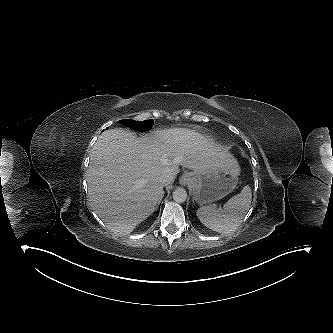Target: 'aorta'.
<instances>
[{
    "label": "aorta",
    "mask_w": 333,
    "mask_h": 333,
    "mask_svg": "<svg viewBox=\"0 0 333 333\" xmlns=\"http://www.w3.org/2000/svg\"><path fill=\"white\" fill-rule=\"evenodd\" d=\"M173 199L175 202L177 203H182V202H185L186 199H187V192L184 188H176L174 191H173Z\"/></svg>",
    "instance_id": "762f6f07"
}]
</instances>
